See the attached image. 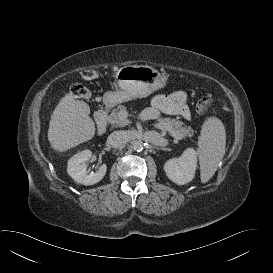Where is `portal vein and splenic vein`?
<instances>
[{
	"instance_id": "obj_1",
	"label": "portal vein and splenic vein",
	"mask_w": 273,
	"mask_h": 273,
	"mask_svg": "<svg viewBox=\"0 0 273 273\" xmlns=\"http://www.w3.org/2000/svg\"><path fill=\"white\" fill-rule=\"evenodd\" d=\"M121 114L127 116L126 111L121 112Z\"/></svg>"
}]
</instances>
